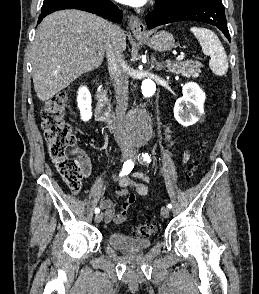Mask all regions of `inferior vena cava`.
<instances>
[{
    "label": "inferior vena cava",
    "instance_id": "obj_1",
    "mask_svg": "<svg viewBox=\"0 0 259 294\" xmlns=\"http://www.w3.org/2000/svg\"><path fill=\"white\" fill-rule=\"evenodd\" d=\"M123 31L117 26L112 25V35L105 46L108 65L114 75V88L116 98V118L119 123L117 139L123 142L121 125L125 120L128 108V76L126 74V63L122 55L119 36Z\"/></svg>",
    "mask_w": 259,
    "mask_h": 294
}]
</instances>
